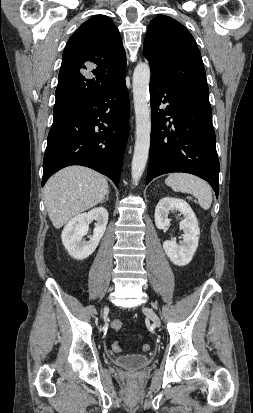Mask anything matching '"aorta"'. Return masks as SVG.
<instances>
[{"label":"aorta","mask_w":253,"mask_h":413,"mask_svg":"<svg viewBox=\"0 0 253 413\" xmlns=\"http://www.w3.org/2000/svg\"><path fill=\"white\" fill-rule=\"evenodd\" d=\"M150 66L138 63L133 73V99L136 121V140L131 164V175L137 183L146 167L150 148L151 115L149 103Z\"/></svg>","instance_id":"762f6f07"}]
</instances>
